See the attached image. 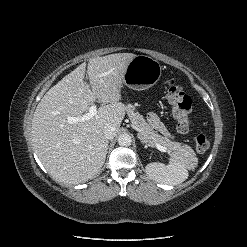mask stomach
<instances>
[{
  "instance_id": "0dacf381",
  "label": "stomach",
  "mask_w": 247,
  "mask_h": 247,
  "mask_svg": "<svg viewBox=\"0 0 247 247\" xmlns=\"http://www.w3.org/2000/svg\"><path fill=\"white\" fill-rule=\"evenodd\" d=\"M161 73L162 67L157 60L146 55H137L129 62L123 83L133 90H146L158 82Z\"/></svg>"
}]
</instances>
